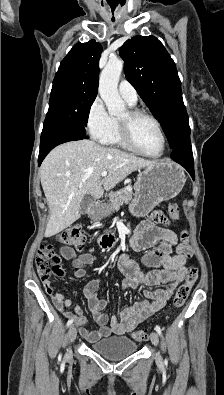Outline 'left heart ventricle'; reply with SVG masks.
<instances>
[{
	"label": "left heart ventricle",
	"instance_id": "1",
	"mask_svg": "<svg viewBox=\"0 0 224 395\" xmlns=\"http://www.w3.org/2000/svg\"><path fill=\"white\" fill-rule=\"evenodd\" d=\"M127 112L120 119H125ZM133 134L139 147L147 153L158 154L162 149V138L156 125L148 118L141 117L134 122Z\"/></svg>",
	"mask_w": 224,
	"mask_h": 395
}]
</instances>
